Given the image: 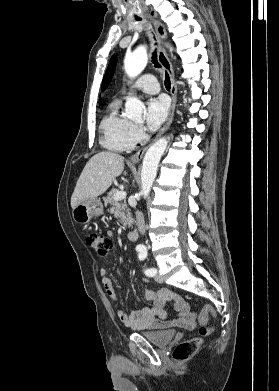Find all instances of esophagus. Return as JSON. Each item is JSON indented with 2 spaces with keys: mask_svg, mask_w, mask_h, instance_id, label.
<instances>
[{
  "mask_svg": "<svg viewBox=\"0 0 279 391\" xmlns=\"http://www.w3.org/2000/svg\"><path fill=\"white\" fill-rule=\"evenodd\" d=\"M151 17L153 19L154 27H155V30H156V33L158 36V40H159L158 61L161 64V66L168 72L170 79H171L172 104H171V107L169 110L168 118H167L164 126L161 128V130L159 131V133L156 136V138H158L169 128V126L171 125V123L173 121L174 111H175L176 102H177V97H176L177 85H176V82L174 79V71H173L172 64L168 58V55L166 53L164 46H163V41L167 37L165 26L159 20L156 19L155 14H152ZM147 148H148V146L142 148L141 150L136 152L134 155H132L130 157V161H132L134 163L139 162L142 159Z\"/></svg>",
  "mask_w": 279,
  "mask_h": 391,
  "instance_id": "34e87169",
  "label": "esophagus"
}]
</instances>
